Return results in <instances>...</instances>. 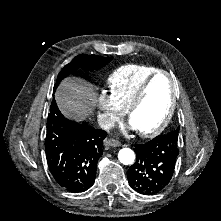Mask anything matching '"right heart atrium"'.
<instances>
[{
	"label": "right heart atrium",
	"instance_id": "obj_1",
	"mask_svg": "<svg viewBox=\"0 0 221 221\" xmlns=\"http://www.w3.org/2000/svg\"><path fill=\"white\" fill-rule=\"evenodd\" d=\"M99 123L110 127L120 116L122 108L112 94L101 93L98 96Z\"/></svg>",
	"mask_w": 221,
	"mask_h": 221
}]
</instances>
